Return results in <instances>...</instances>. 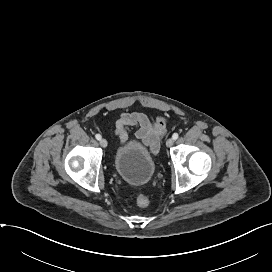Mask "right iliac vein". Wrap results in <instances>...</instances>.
Instances as JSON below:
<instances>
[{"label":"right iliac vein","mask_w":272,"mask_h":272,"mask_svg":"<svg viewBox=\"0 0 272 272\" xmlns=\"http://www.w3.org/2000/svg\"><path fill=\"white\" fill-rule=\"evenodd\" d=\"M100 145L103 147V148H105V147H107V141H106V139H100Z\"/></svg>","instance_id":"right-iliac-vein-1"}]
</instances>
